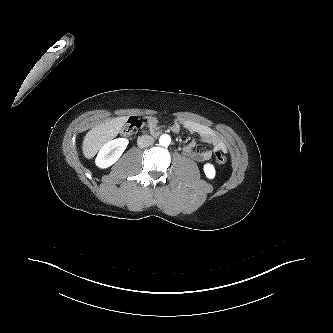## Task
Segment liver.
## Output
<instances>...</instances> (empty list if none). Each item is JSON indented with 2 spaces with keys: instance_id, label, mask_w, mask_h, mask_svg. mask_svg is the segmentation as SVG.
Wrapping results in <instances>:
<instances>
[{
  "instance_id": "obj_1",
  "label": "liver",
  "mask_w": 333,
  "mask_h": 333,
  "mask_svg": "<svg viewBox=\"0 0 333 333\" xmlns=\"http://www.w3.org/2000/svg\"><path fill=\"white\" fill-rule=\"evenodd\" d=\"M127 117H117L109 119L103 123L94 126L84 137L83 154L85 158L91 159L98 150L108 141L118 135Z\"/></svg>"
}]
</instances>
